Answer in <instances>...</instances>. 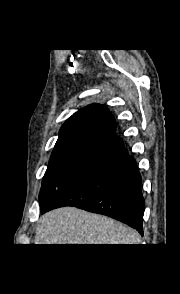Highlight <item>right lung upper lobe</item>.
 Masks as SVG:
<instances>
[{
    "label": "right lung upper lobe",
    "mask_w": 180,
    "mask_h": 294,
    "mask_svg": "<svg viewBox=\"0 0 180 294\" xmlns=\"http://www.w3.org/2000/svg\"><path fill=\"white\" fill-rule=\"evenodd\" d=\"M115 131L114 117L105 105L93 104L76 112L62 125L55 146L74 142L101 144Z\"/></svg>",
    "instance_id": "obj_1"
}]
</instances>
